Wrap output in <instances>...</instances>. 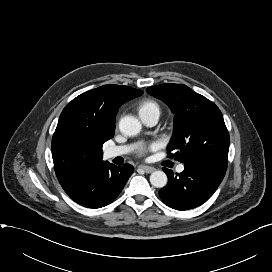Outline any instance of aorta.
I'll use <instances>...</instances> for the list:
<instances>
[{"instance_id": "aorta-1", "label": "aorta", "mask_w": 272, "mask_h": 272, "mask_svg": "<svg viewBox=\"0 0 272 272\" xmlns=\"http://www.w3.org/2000/svg\"><path fill=\"white\" fill-rule=\"evenodd\" d=\"M119 130L126 136H136L141 131V123L134 116H124L119 122ZM167 180L163 171H155L150 175V183L156 188L165 187Z\"/></svg>"}]
</instances>
